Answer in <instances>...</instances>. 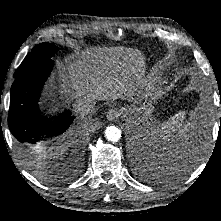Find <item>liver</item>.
I'll return each instance as SVG.
<instances>
[{
  "label": "liver",
  "instance_id": "liver-1",
  "mask_svg": "<svg viewBox=\"0 0 221 221\" xmlns=\"http://www.w3.org/2000/svg\"><path fill=\"white\" fill-rule=\"evenodd\" d=\"M144 56L133 48L105 47L86 49L71 61L59 62L61 92L70 100L88 96L94 100H116L132 97L144 73ZM49 95L54 96L52 89ZM45 159V148L38 146Z\"/></svg>",
  "mask_w": 221,
  "mask_h": 221
}]
</instances>
